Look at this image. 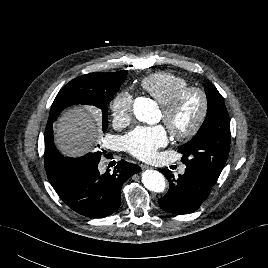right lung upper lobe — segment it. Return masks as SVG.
Segmentation results:
<instances>
[{"label":"right lung upper lobe","instance_id":"1","mask_svg":"<svg viewBox=\"0 0 268 268\" xmlns=\"http://www.w3.org/2000/svg\"><path fill=\"white\" fill-rule=\"evenodd\" d=\"M127 71L112 73H91L79 76L65 85L55 99H62L59 108L51 111L45 129V142L51 143L53 137L52 123L56 121L61 111L71 105L104 101L114 95L124 82ZM60 195V194H59Z\"/></svg>","mask_w":268,"mask_h":268}]
</instances>
